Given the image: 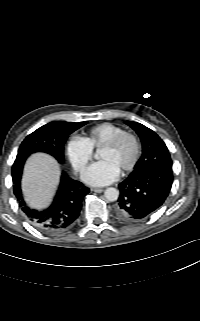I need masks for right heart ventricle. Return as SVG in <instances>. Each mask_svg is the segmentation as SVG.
<instances>
[{"label": "right heart ventricle", "instance_id": "1", "mask_svg": "<svg viewBox=\"0 0 200 321\" xmlns=\"http://www.w3.org/2000/svg\"><path fill=\"white\" fill-rule=\"evenodd\" d=\"M123 131H125L123 127L105 122L91 127L83 138L93 150Z\"/></svg>", "mask_w": 200, "mask_h": 321}]
</instances>
